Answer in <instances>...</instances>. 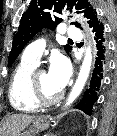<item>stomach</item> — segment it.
Segmentation results:
<instances>
[{
  "label": "stomach",
  "mask_w": 117,
  "mask_h": 136,
  "mask_svg": "<svg viewBox=\"0 0 117 136\" xmlns=\"http://www.w3.org/2000/svg\"><path fill=\"white\" fill-rule=\"evenodd\" d=\"M49 127V117L48 116H39L33 122L29 129L25 130L23 133L18 136H34V134L44 131Z\"/></svg>",
  "instance_id": "0dacf381"
}]
</instances>
